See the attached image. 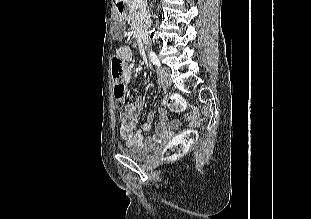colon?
I'll list each match as a JSON object with an SVG mask.
<instances>
[{"label": "colon", "instance_id": "1", "mask_svg": "<svg viewBox=\"0 0 311 219\" xmlns=\"http://www.w3.org/2000/svg\"><path fill=\"white\" fill-rule=\"evenodd\" d=\"M125 64L119 57L112 60V78L114 81V97L117 108H122L125 104L126 84L124 81ZM166 103L172 111L180 112L186 107L182 97L171 96L166 99ZM165 115L166 112H164ZM198 140L196 129H188L181 135L173 138L168 142L162 151V158L170 160L182 156L187 152L189 147Z\"/></svg>", "mask_w": 311, "mask_h": 219}]
</instances>
